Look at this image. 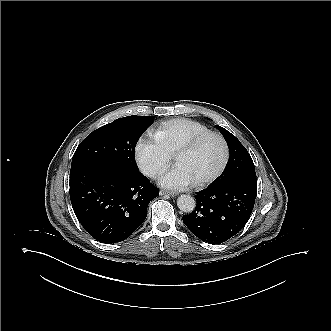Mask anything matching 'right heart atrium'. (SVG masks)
<instances>
[{
	"mask_svg": "<svg viewBox=\"0 0 331 331\" xmlns=\"http://www.w3.org/2000/svg\"><path fill=\"white\" fill-rule=\"evenodd\" d=\"M135 159L140 170L148 176L161 174L168 166L169 156L150 139H140L135 151Z\"/></svg>",
	"mask_w": 331,
	"mask_h": 331,
	"instance_id": "1",
	"label": "right heart atrium"
}]
</instances>
